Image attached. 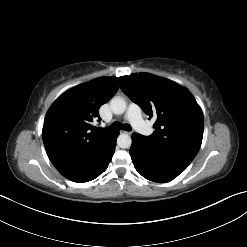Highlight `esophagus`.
<instances>
[{
    "label": "esophagus",
    "mask_w": 247,
    "mask_h": 247,
    "mask_svg": "<svg viewBox=\"0 0 247 247\" xmlns=\"http://www.w3.org/2000/svg\"><path fill=\"white\" fill-rule=\"evenodd\" d=\"M121 133H126V134H131V132H128V131H121Z\"/></svg>",
    "instance_id": "1"
}]
</instances>
